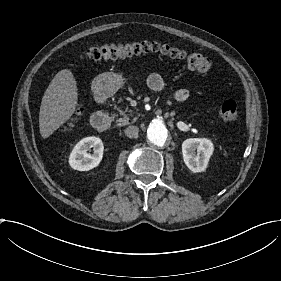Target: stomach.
<instances>
[{"instance_id": "0dacf381", "label": "stomach", "mask_w": 281, "mask_h": 281, "mask_svg": "<svg viewBox=\"0 0 281 281\" xmlns=\"http://www.w3.org/2000/svg\"><path fill=\"white\" fill-rule=\"evenodd\" d=\"M136 75L137 77L142 76L143 71H137ZM128 83L129 80L124 78L122 74L115 72H104L95 78L93 86L96 88L98 94L111 96Z\"/></svg>"}]
</instances>
